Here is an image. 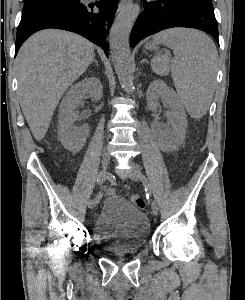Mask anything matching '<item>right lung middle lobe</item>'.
<instances>
[{
    "mask_svg": "<svg viewBox=\"0 0 245 300\" xmlns=\"http://www.w3.org/2000/svg\"><path fill=\"white\" fill-rule=\"evenodd\" d=\"M78 1L79 0H35L24 2L22 17L60 5L76 3Z\"/></svg>",
    "mask_w": 245,
    "mask_h": 300,
    "instance_id": "dd1d6c3e",
    "label": "right lung middle lobe"
}]
</instances>
